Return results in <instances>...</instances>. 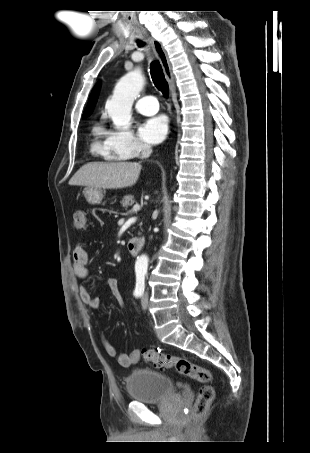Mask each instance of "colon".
Instances as JSON below:
<instances>
[{
	"label": "colon",
	"mask_w": 310,
	"mask_h": 453,
	"mask_svg": "<svg viewBox=\"0 0 310 453\" xmlns=\"http://www.w3.org/2000/svg\"><path fill=\"white\" fill-rule=\"evenodd\" d=\"M73 224L77 230L86 228L87 218L83 210L78 209L74 212ZM141 355L146 362L152 363L157 369L166 370L174 368L179 374L200 382L202 387L198 391L191 420H198L207 413L214 398V390L210 385L212 375L207 368L194 364L186 358L162 353L153 349H143Z\"/></svg>",
	"instance_id": "5ec220e1"
}]
</instances>
